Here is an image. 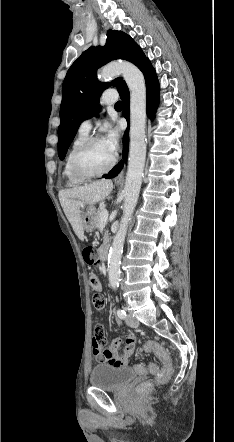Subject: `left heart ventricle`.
I'll list each match as a JSON object with an SVG mask.
<instances>
[{
  "label": "left heart ventricle",
  "instance_id": "1",
  "mask_svg": "<svg viewBox=\"0 0 234 442\" xmlns=\"http://www.w3.org/2000/svg\"><path fill=\"white\" fill-rule=\"evenodd\" d=\"M113 154L108 150L103 140L92 144L82 155L80 164L90 172L105 169L111 162Z\"/></svg>",
  "mask_w": 234,
  "mask_h": 442
}]
</instances>
